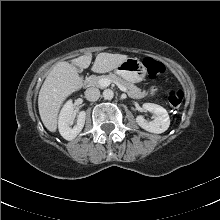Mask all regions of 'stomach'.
<instances>
[{"label": "stomach", "instance_id": "1", "mask_svg": "<svg viewBox=\"0 0 220 220\" xmlns=\"http://www.w3.org/2000/svg\"><path fill=\"white\" fill-rule=\"evenodd\" d=\"M116 73L131 83H138L144 80L146 68L137 58H127L117 68Z\"/></svg>", "mask_w": 220, "mask_h": 220}]
</instances>
